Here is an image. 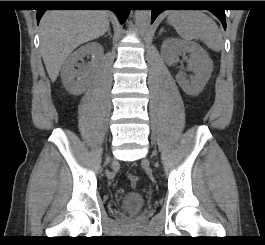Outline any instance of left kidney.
I'll return each mask as SVG.
<instances>
[{
  "label": "left kidney",
  "mask_w": 265,
  "mask_h": 245,
  "mask_svg": "<svg viewBox=\"0 0 265 245\" xmlns=\"http://www.w3.org/2000/svg\"><path fill=\"white\" fill-rule=\"evenodd\" d=\"M182 53H190L188 69L194 73V76L187 80L184 74L179 72L176 80L185 93L197 96L211 77L213 62L207 52L195 42L175 38H168L163 42L161 54L166 62L174 63Z\"/></svg>",
  "instance_id": "left-kidney-1"
}]
</instances>
